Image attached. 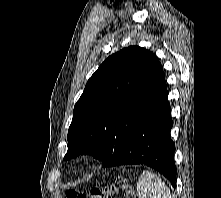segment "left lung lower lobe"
<instances>
[{
	"label": "left lung lower lobe",
	"instance_id": "left-lung-lower-lobe-1",
	"mask_svg": "<svg viewBox=\"0 0 221 198\" xmlns=\"http://www.w3.org/2000/svg\"><path fill=\"white\" fill-rule=\"evenodd\" d=\"M167 97L168 91L121 148L103 161L102 167L147 165L163 174L175 188V144L170 138L173 121Z\"/></svg>",
	"mask_w": 221,
	"mask_h": 198
}]
</instances>
